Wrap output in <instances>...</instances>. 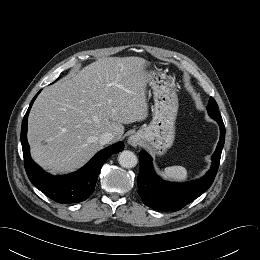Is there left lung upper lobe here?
I'll list each match as a JSON object with an SVG mask.
<instances>
[{
	"instance_id": "left-lung-upper-lobe-1",
	"label": "left lung upper lobe",
	"mask_w": 260,
	"mask_h": 260,
	"mask_svg": "<svg viewBox=\"0 0 260 260\" xmlns=\"http://www.w3.org/2000/svg\"><path fill=\"white\" fill-rule=\"evenodd\" d=\"M208 114L213 119H222L219 114V109L216 101L213 98H210V101L207 106Z\"/></svg>"
}]
</instances>
